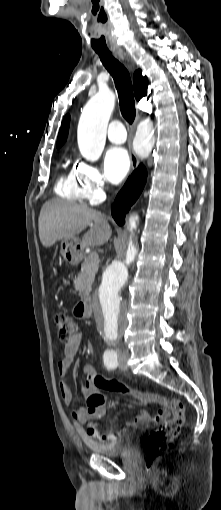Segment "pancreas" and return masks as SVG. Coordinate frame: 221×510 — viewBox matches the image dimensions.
Returning <instances> with one entry per match:
<instances>
[{
	"instance_id": "1",
	"label": "pancreas",
	"mask_w": 221,
	"mask_h": 510,
	"mask_svg": "<svg viewBox=\"0 0 221 510\" xmlns=\"http://www.w3.org/2000/svg\"><path fill=\"white\" fill-rule=\"evenodd\" d=\"M98 268V261H92L89 259V255L85 258L81 264V272L75 277L74 285L75 289L79 292L82 298L89 295L91 286L95 280V274Z\"/></svg>"
}]
</instances>
